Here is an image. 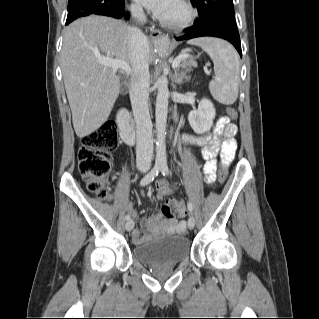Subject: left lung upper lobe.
Masks as SVG:
<instances>
[{
  "label": "left lung upper lobe",
  "instance_id": "5c2ea615",
  "mask_svg": "<svg viewBox=\"0 0 319 319\" xmlns=\"http://www.w3.org/2000/svg\"><path fill=\"white\" fill-rule=\"evenodd\" d=\"M197 7L199 19L193 25L221 22L237 26L234 18V5L232 0H190Z\"/></svg>",
  "mask_w": 319,
  "mask_h": 319
}]
</instances>
